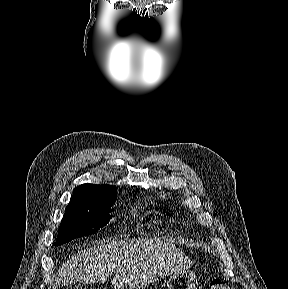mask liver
<instances>
[{
  "label": "liver",
  "mask_w": 288,
  "mask_h": 289,
  "mask_svg": "<svg viewBox=\"0 0 288 289\" xmlns=\"http://www.w3.org/2000/svg\"><path fill=\"white\" fill-rule=\"evenodd\" d=\"M184 252L160 239L99 241L69 258L58 271L53 289L69 281L104 283L114 273L116 289H140L192 266Z\"/></svg>",
  "instance_id": "liver-1"
}]
</instances>
